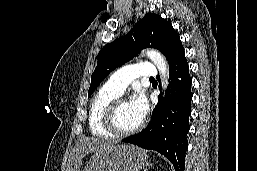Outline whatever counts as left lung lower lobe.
I'll return each instance as SVG.
<instances>
[{
	"label": "left lung lower lobe",
	"instance_id": "1",
	"mask_svg": "<svg viewBox=\"0 0 257 171\" xmlns=\"http://www.w3.org/2000/svg\"><path fill=\"white\" fill-rule=\"evenodd\" d=\"M168 63L170 79L164 103L161 101L159 109L155 107L147 128L122 141L156 150L172 162L175 171H184L192 99L184 48L172 55Z\"/></svg>",
	"mask_w": 257,
	"mask_h": 171
}]
</instances>
